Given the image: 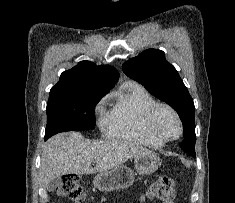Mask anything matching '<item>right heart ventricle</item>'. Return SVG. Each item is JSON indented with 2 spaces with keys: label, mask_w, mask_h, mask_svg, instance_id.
Instances as JSON below:
<instances>
[{
  "label": "right heart ventricle",
  "mask_w": 235,
  "mask_h": 203,
  "mask_svg": "<svg viewBox=\"0 0 235 203\" xmlns=\"http://www.w3.org/2000/svg\"><path fill=\"white\" fill-rule=\"evenodd\" d=\"M114 104L107 113L104 126L107 133L145 146L158 148L164 143L150 136L145 129L147 112L157 104L142 86L129 83L111 94Z\"/></svg>",
  "instance_id": "right-heart-ventricle-1"
}]
</instances>
